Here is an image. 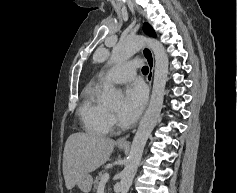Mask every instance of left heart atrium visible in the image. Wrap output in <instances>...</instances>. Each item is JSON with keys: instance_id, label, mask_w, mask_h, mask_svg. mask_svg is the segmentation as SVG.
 Here are the masks:
<instances>
[{"instance_id": "39dd6f15", "label": "left heart atrium", "mask_w": 237, "mask_h": 193, "mask_svg": "<svg viewBox=\"0 0 237 193\" xmlns=\"http://www.w3.org/2000/svg\"><path fill=\"white\" fill-rule=\"evenodd\" d=\"M147 100V90L143 83L134 82L126 87L119 117L124 123H132L140 116Z\"/></svg>"}]
</instances>
